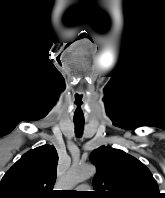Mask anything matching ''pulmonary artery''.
Listing matches in <instances>:
<instances>
[{
    "label": "pulmonary artery",
    "instance_id": "e3ab8cb5",
    "mask_svg": "<svg viewBox=\"0 0 165 198\" xmlns=\"http://www.w3.org/2000/svg\"><path fill=\"white\" fill-rule=\"evenodd\" d=\"M86 188H87L86 185H81V186L78 187L79 190H80V189H86Z\"/></svg>",
    "mask_w": 165,
    "mask_h": 198
}]
</instances>
